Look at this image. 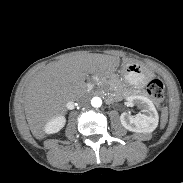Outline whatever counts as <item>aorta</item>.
Here are the masks:
<instances>
[{"mask_svg":"<svg viewBox=\"0 0 183 183\" xmlns=\"http://www.w3.org/2000/svg\"><path fill=\"white\" fill-rule=\"evenodd\" d=\"M91 105L95 108H98L102 105V100L100 97H93L91 99Z\"/></svg>","mask_w":183,"mask_h":183,"instance_id":"aorta-1","label":"aorta"}]
</instances>
